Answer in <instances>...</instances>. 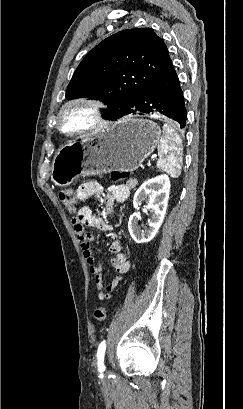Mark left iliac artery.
Wrapping results in <instances>:
<instances>
[{
	"instance_id": "44dca946",
	"label": "left iliac artery",
	"mask_w": 243,
	"mask_h": 409,
	"mask_svg": "<svg viewBox=\"0 0 243 409\" xmlns=\"http://www.w3.org/2000/svg\"><path fill=\"white\" fill-rule=\"evenodd\" d=\"M105 350H106V343L105 341H102L97 351V364H98V370L101 373V376H102V372L105 370V366H104Z\"/></svg>"
}]
</instances>
